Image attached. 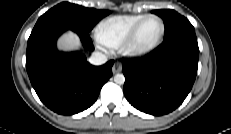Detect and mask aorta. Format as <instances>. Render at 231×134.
Instances as JSON below:
<instances>
[{
    "label": "aorta",
    "mask_w": 231,
    "mask_h": 134,
    "mask_svg": "<svg viewBox=\"0 0 231 134\" xmlns=\"http://www.w3.org/2000/svg\"><path fill=\"white\" fill-rule=\"evenodd\" d=\"M114 82H115L116 84H124V82H125V77H124V75H123V74H116V75L114 76Z\"/></svg>",
    "instance_id": "762f6f07"
}]
</instances>
